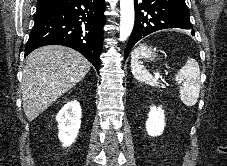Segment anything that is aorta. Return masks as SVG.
Listing matches in <instances>:
<instances>
[{"instance_id": "1", "label": "aorta", "mask_w": 227, "mask_h": 166, "mask_svg": "<svg viewBox=\"0 0 227 166\" xmlns=\"http://www.w3.org/2000/svg\"><path fill=\"white\" fill-rule=\"evenodd\" d=\"M120 41H125L134 26V0H120Z\"/></svg>"}]
</instances>
